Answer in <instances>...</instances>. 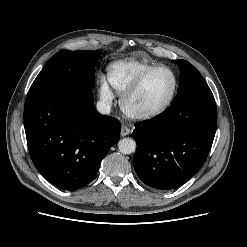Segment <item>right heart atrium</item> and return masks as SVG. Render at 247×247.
<instances>
[{
    "label": "right heart atrium",
    "mask_w": 247,
    "mask_h": 247,
    "mask_svg": "<svg viewBox=\"0 0 247 247\" xmlns=\"http://www.w3.org/2000/svg\"><path fill=\"white\" fill-rule=\"evenodd\" d=\"M99 96L101 100L107 104L112 103L115 98L114 92L105 78L100 79Z\"/></svg>",
    "instance_id": "1"
}]
</instances>
